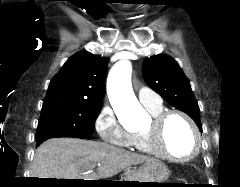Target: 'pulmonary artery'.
Instances as JSON below:
<instances>
[{
    "label": "pulmonary artery",
    "instance_id": "pulmonary-artery-1",
    "mask_svg": "<svg viewBox=\"0 0 240 187\" xmlns=\"http://www.w3.org/2000/svg\"><path fill=\"white\" fill-rule=\"evenodd\" d=\"M138 99L145 107H160L162 105L161 97L147 87H140L137 92Z\"/></svg>",
    "mask_w": 240,
    "mask_h": 187
}]
</instances>
